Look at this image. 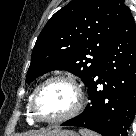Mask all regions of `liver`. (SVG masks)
Wrapping results in <instances>:
<instances>
[{"label": "liver", "mask_w": 136, "mask_h": 136, "mask_svg": "<svg viewBox=\"0 0 136 136\" xmlns=\"http://www.w3.org/2000/svg\"><path fill=\"white\" fill-rule=\"evenodd\" d=\"M53 130L51 129H44L41 131H35L32 133V136H48Z\"/></svg>", "instance_id": "liver-1"}]
</instances>
